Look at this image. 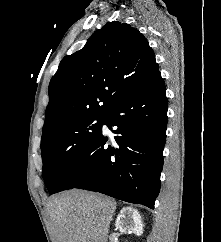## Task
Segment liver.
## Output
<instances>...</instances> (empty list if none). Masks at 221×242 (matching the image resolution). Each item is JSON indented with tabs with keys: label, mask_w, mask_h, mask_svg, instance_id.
<instances>
[{
	"label": "liver",
	"mask_w": 221,
	"mask_h": 242,
	"mask_svg": "<svg viewBox=\"0 0 221 242\" xmlns=\"http://www.w3.org/2000/svg\"><path fill=\"white\" fill-rule=\"evenodd\" d=\"M116 201L81 190L66 191L47 204L52 242H107Z\"/></svg>",
	"instance_id": "1"
}]
</instances>
